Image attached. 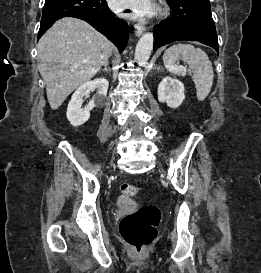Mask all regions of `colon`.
<instances>
[{
	"instance_id": "obj_1",
	"label": "colon",
	"mask_w": 261,
	"mask_h": 273,
	"mask_svg": "<svg viewBox=\"0 0 261 273\" xmlns=\"http://www.w3.org/2000/svg\"><path fill=\"white\" fill-rule=\"evenodd\" d=\"M120 191L125 199H130L138 193V188L126 183ZM160 217V211L155 206H143L122 218L120 236L134 251L142 252L155 239Z\"/></svg>"
}]
</instances>
